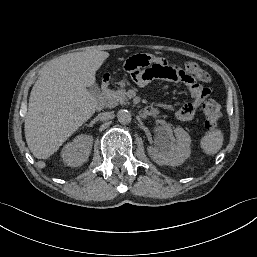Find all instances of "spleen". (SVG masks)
<instances>
[{
	"mask_svg": "<svg viewBox=\"0 0 257 257\" xmlns=\"http://www.w3.org/2000/svg\"><path fill=\"white\" fill-rule=\"evenodd\" d=\"M223 133L220 129H213L207 132L201 139V147L208 155L216 154L223 145Z\"/></svg>",
	"mask_w": 257,
	"mask_h": 257,
	"instance_id": "3e777b00",
	"label": "spleen"
}]
</instances>
